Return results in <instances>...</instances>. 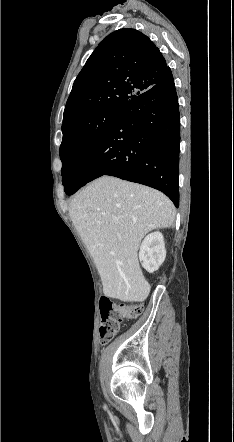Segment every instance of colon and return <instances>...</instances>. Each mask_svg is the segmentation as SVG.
Returning a JSON list of instances; mask_svg holds the SVG:
<instances>
[{"mask_svg":"<svg viewBox=\"0 0 234 442\" xmlns=\"http://www.w3.org/2000/svg\"><path fill=\"white\" fill-rule=\"evenodd\" d=\"M144 309L142 302H132L128 305H116L108 298L100 302L101 326L100 337L103 343H108L118 333L124 319L139 317Z\"/></svg>","mask_w":234,"mask_h":442,"instance_id":"5ec220e1","label":"colon"}]
</instances>
